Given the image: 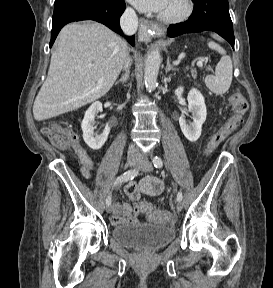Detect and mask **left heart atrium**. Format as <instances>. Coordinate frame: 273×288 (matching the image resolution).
Masks as SVG:
<instances>
[{"label": "left heart atrium", "instance_id": "obj_1", "mask_svg": "<svg viewBox=\"0 0 273 288\" xmlns=\"http://www.w3.org/2000/svg\"><path fill=\"white\" fill-rule=\"evenodd\" d=\"M137 9L143 12H161L168 0H129Z\"/></svg>", "mask_w": 273, "mask_h": 288}]
</instances>
